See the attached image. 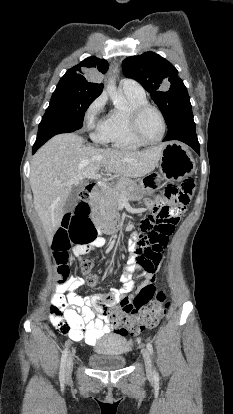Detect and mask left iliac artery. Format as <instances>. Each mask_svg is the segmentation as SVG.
Listing matches in <instances>:
<instances>
[{
  "label": "left iliac artery",
  "mask_w": 233,
  "mask_h": 414,
  "mask_svg": "<svg viewBox=\"0 0 233 414\" xmlns=\"http://www.w3.org/2000/svg\"><path fill=\"white\" fill-rule=\"evenodd\" d=\"M147 348H148L149 352L152 354L153 353V346L150 342L147 343ZM154 376L158 377V373L156 372V370L154 371Z\"/></svg>",
  "instance_id": "1"
}]
</instances>
